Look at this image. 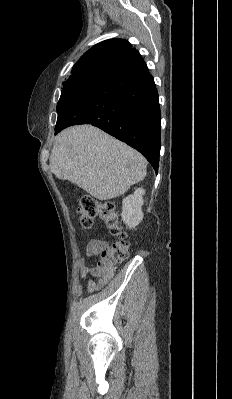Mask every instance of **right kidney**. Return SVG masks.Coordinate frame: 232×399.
I'll return each mask as SVG.
<instances>
[{
  "label": "right kidney",
  "instance_id": "right-kidney-1",
  "mask_svg": "<svg viewBox=\"0 0 232 399\" xmlns=\"http://www.w3.org/2000/svg\"><path fill=\"white\" fill-rule=\"evenodd\" d=\"M145 190L143 188H137L132 196H127L122 201V219L124 223H127L129 227H136L143 219V211L141 205H143V196Z\"/></svg>",
  "mask_w": 232,
  "mask_h": 399
}]
</instances>
